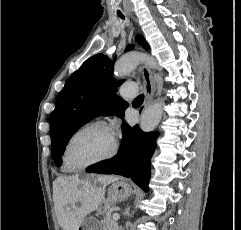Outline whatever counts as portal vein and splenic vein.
Listing matches in <instances>:
<instances>
[{"instance_id":"portal-vein-and-splenic-vein-1","label":"portal vein and splenic vein","mask_w":241,"mask_h":230,"mask_svg":"<svg viewBox=\"0 0 241 230\" xmlns=\"http://www.w3.org/2000/svg\"><path fill=\"white\" fill-rule=\"evenodd\" d=\"M112 217H113L114 220L120 219V215L118 213H114Z\"/></svg>"}]
</instances>
